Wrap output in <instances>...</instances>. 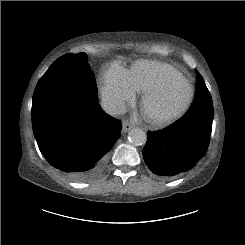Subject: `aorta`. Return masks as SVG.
<instances>
[{
	"label": "aorta",
	"instance_id": "obj_1",
	"mask_svg": "<svg viewBox=\"0 0 245 245\" xmlns=\"http://www.w3.org/2000/svg\"><path fill=\"white\" fill-rule=\"evenodd\" d=\"M128 137L133 145H143L147 141L146 133L140 128L130 130Z\"/></svg>",
	"mask_w": 245,
	"mask_h": 245
}]
</instances>
